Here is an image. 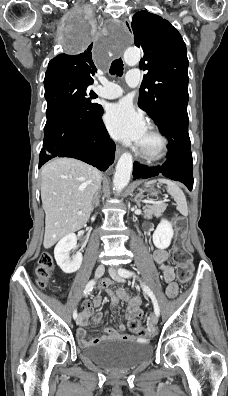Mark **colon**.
Listing matches in <instances>:
<instances>
[{
	"instance_id": "5ec220e1",
	"label": "colon",
	"mask_w": 228,
	"mask_h": 396,
	"mask_svg": "<svg viewBox=\"0 0 228 396\" xmlns=\"http://www.w3.org/2000/svg\"><path fill=\"white\" fill-rule=\"evenodd\" d=\"M174 228L176 233V240L174 244L173 260L177 266L178 278L181 282H188L193 274V262L190 252V245L188 243L187 222L182 217L174 218ZM54 267V260L49 252H43L37 262L35 268L36 282L40 287H46L50 281L52 270ZM129 328L135 334L147 336L143 325L140 321L132 319L129 321Z\"/></svg>"
}]
</instances>
